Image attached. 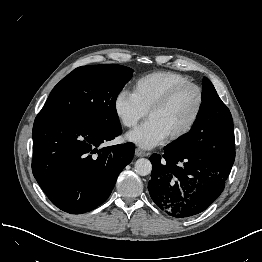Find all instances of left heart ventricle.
Returning <instances> with one entry per match:
<instances>
[{
    "mask_svg": "<svg viewBox=\"0 0 262 262\" xmlns=\"http://www.w3.org/2000/svg\"><path fill=\"white\" fill-rule=\"evenodd\" d=\"M197 105V95L193 89L180 92L166 107L151 113L153 119L167 136L182 129L191 119Z\"/></svg>",
    "mask_w": 262,
    "mask_h": 262,
    "instance_id": "obj_1",
    "label": "left heart ventricle"
}]
</instances>
